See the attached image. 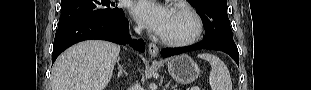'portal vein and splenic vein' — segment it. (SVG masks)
<instances>
[{"label": "portal vein and splenic vein", "mask_w": 311, "mask_h": 90, "mask_svg": "<svg viewBox=\"0 0 311 90\" xmlns=\"http://www.w3.org/2000/svg\"><path fill=\"white\" fill-rule=\"evenodd\" d=\"M192 90H199V88H198V87H195V88H193Z\"/></svg>", "instance_id": "18ae733b"}]
</instances>
